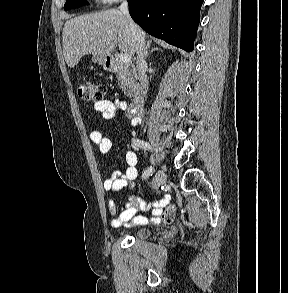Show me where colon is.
Wrapping results in <instances>:
<instances>
[{"instance_id": "colon-1", "label": "colon", "mask_w": 288, "mask_h": 293, "mask_svg": "<svg viewBox=\"0 0 288 293\" xmlns=\"http://www.w3.org/2000/svg\"><path fill=\"white\" fill-rule=\"evenodd\" d=\"M106 87L103 84L93 81L82 82L77 87L78 96L89 102L97 103L103 100ZM176 214L175 206H169L162 214V219L165 222H171Z\"/></svg>"}]
</instances>
